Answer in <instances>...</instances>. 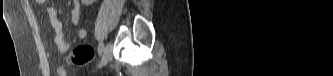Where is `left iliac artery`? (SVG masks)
Returning <instances> with one entry per match:
<instances>
[{
    "label": "left iliac artery",
    "instance_id": "1",
    "mask_svg": "<svg viewBox=\"0 0 333 76\" xmlns=\"http://www.w3.org/2000/svg\"><path fill=\"white\" fill-rule=\"evenodd\" d=\"M103 48H104V44L102 42H100L99 45H98V54L99 55L102 53Z\"/></svg>",
    "mask_w": 333,
    "mask_h": 76
}]
</instances>
